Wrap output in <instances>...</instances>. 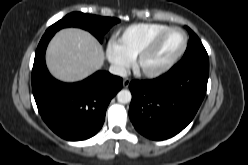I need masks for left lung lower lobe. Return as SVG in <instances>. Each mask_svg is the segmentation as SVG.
<instances>
[{"label": "left lung lower lobe", "mask_w": 248, "mask_h": 165, "mask_svg": "<svg viewBox=\"0 0 248 165\" xmlns=\"http://www.w3.org/2000/svg\"><path fill=\"white\" fill-rule=\"evenodd\" d=\"M209 58L196 51L152 80H134L129 117L136 130L152 140H164L182 131L194 118L207 89Z\"/></svg>", "instance_id": "left-lung-lower-lobe-1"}]
</instances>
